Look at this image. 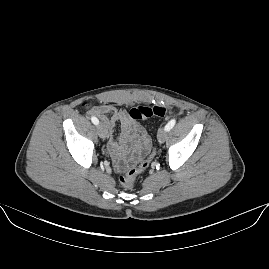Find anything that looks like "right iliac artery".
<instances>
[{
	"mask_svg": "<svg viewBox=\"0 0 269 269\" xmlns=\"http://www.w3.org/2000/svg\"><path fill=\"white\" fill-rule=\"evenodd\" d=\"M91 121H92V123L95 124V125H98V124H99V120H98L96 117H92V118H91Z\"/></svg>",
	"mask_w": 269,
	"mask_h": 269,
	"instance_id": "obj_1",
	"label": "right iliac artery"
}]
</instances>
